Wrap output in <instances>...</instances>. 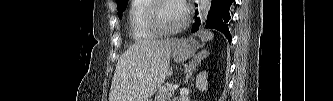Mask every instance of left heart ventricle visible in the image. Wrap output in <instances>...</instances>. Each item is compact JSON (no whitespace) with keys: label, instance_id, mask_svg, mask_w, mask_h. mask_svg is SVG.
Segmentation results:
<instances>
[{"label":"left heart ventricle","instance_id":"b2bd125f","mask_svg":"<svg viewBox=\"0 0 333 101\" xmlns=\"http://www.w3.org/2000/svg\"><path fill=\"white\" fill-rule=\"evenodd\" d=\"M184 12L175 2H166L158 10V19L163 29H172L182 20Z\"/></svg>","mask_w":333,"mask_h":101}]
</instances>
